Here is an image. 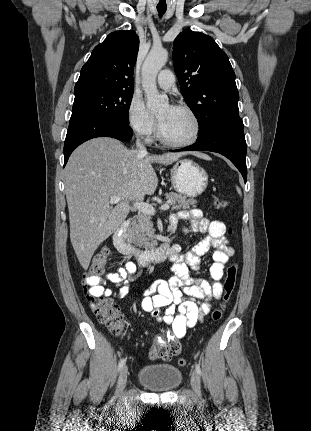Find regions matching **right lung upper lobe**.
I'll return each mask as SVG.
<instances>
[{
	"label": "right lung upper lobe",
	"instance_id": "cb5924a9",
	"mask_svg": "<svg viewBox=\"0 0 311 431\" xmlns=\"http://www.w3.org/2000/svg\"><path fill=\"white\" fill-rule=\"evenodd\" d=\"M139 49V37L134 31L110 33L97 45L81 69L74 90L100 88L133 91V70Z\"/></svg>",
	"mask_w": 311,
	"mask_h": 431
}]
</instances>
